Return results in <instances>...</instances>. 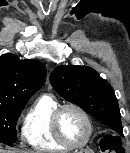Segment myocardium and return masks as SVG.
Listing matches in <instances>:
<instances>
[{
    "label": "myocardium",
    "instance_id": "f54148a6",
    "mask_svg": "<svg viewBox=\"0 0 130 153\" xmlns=\"http://www.w3.org/2000/svg\"><path fill=\"white\" fill-rule=\"evenodd\" d=\"M67 109H74L77 112H79L87 124V129H88L87 135L81 143L75 144V143L68 141L61 132L60 117H61L62 113ZM51 127H52V131H53L56 139L62 145H64L65 147H67L69 149H81V148L85 147L89 143V141L92 137V134H93V123H92L91 117L89 116L88 112L83 107H81L80 105L75 104V103H66V104L59 105L54 110V112L52 114Z\"/></svg>",
    "mask_w": 130,
    "mask_h": 153
}]
</instances>
